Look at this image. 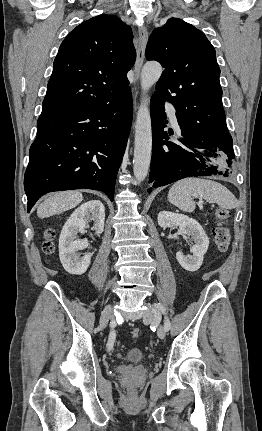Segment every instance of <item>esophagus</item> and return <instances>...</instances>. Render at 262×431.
<instances>
[{
    "label": "esophagus",
    "mask_w": 262,
    "mask_h": 431,
    "mask_svg": "<svg viewBox=\"0 0 262 431\" xmlns=\"http://www.w3.org/2000/svg\"><path fill=\"white\" fill-rule=\"evenodd\" d=\"M148 41V31L146 27H141L138 30V40H137V58L134 65L135 81L140 78L141 69L145 57V48Z\"/></svg>",
    "instance_id": "esophagus-1"
}]
</instances>
